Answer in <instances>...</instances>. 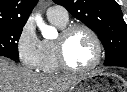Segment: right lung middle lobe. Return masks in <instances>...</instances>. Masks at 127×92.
<instances>
[{
  "instance_id": "right-lung-middle-lobe-1",
  "label": "right lung middle lobe",
  "mask_w": 127,
  "mask_h": 92,
  "mask_svg": "<svg viewBox=\"0 0 127 92\" xmlns=\"http://www.w3.org/2000/svg\"><path fill=\"white\" fill-rule=\"evenodd\" d=\"M23 26L0 27V56L17 59L18 40L22 33Z\"/></svg>"
}]
</instances>
